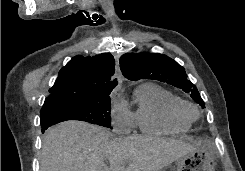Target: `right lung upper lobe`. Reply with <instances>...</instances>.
<instances>
[{"label":"right lung upper lobe","instance_id":"cb5924a9","mask_svg":"<svg viewBox=\"0 0 245 171\" xmlns=\"http://www.w3.org/2000/svg\"><path fill=\"white\" fill-rule=\"evenodd\" d=\"M114 71L115 61L110 53L93 57L75 56L59 71L45 102L109 95L117 85L116 79L111 81Z\"/></svg>","mask_w":245,"mask_h":171}]
</instances>
